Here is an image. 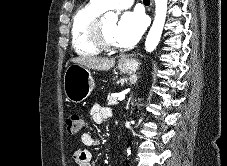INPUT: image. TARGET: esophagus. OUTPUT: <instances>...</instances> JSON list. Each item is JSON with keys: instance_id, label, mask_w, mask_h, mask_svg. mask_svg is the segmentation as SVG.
<instances>
[{"instance_id": "esophagus-1", "label": "esophagus", "mask_w": 227, "mask_h": 166, "mask_svg": "<svg viewBox=\"0 0 227 166\" xmlns=\"http://www.w3.org/2000/svg\"><path fill=\"white\" fill-rule=\"evenodd\" d=\"M150 2H151V3H150L151 8H153L154 0H151Z\"/></svg>"}]
</instances>
